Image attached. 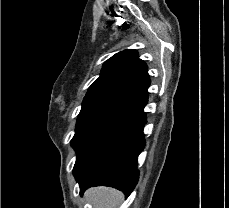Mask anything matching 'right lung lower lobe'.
Listing matches in <instances>:
<instances>
[{
    "label": "right lung lower lobe",
    "mask_w": 229,
    "mask_h": 208,
    "mask_svg": "<svg viewBox=\"0 0 229 208\" xmlns=\"http://www.w3.org/2000/svg\"><path fill=\"white\" fill-rule=\"evenodd\" d=\"M146 113L88 153L73 171L80 193L92 186H111L126 197L135 188L139 171L137 159L145 147L143 128Z\"/></svg>",
    "instance_id": "right-lung-lower-lobe-1"
}]
</instances>
